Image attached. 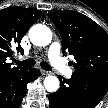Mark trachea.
<instances>
[{"instance_id":"trachea-1","label":"trachea","mask_w":108,"mask_h":108,"mask_svg":"<svg viewBox=\"0 0 108 108\" xmlns=\"http://www.w3.org/2000/svg\"><path fill=\"white\" fill-rule=\"evenodd\" d=\"M14 62L20 66H24V67H32L35 65L36 61L34 59H27L24 61H18V60H14ZM40 66L42 69L46 70V71H51L52 67L45 61L40 63Z\"/></svg>"}]
</instances>
